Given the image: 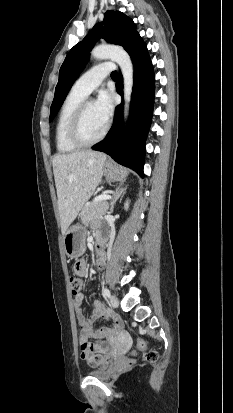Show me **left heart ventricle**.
I'll list each match as a JSON object with an SVG mask.
<instances>
[{
	"label": "left heart ventricle",
	"mask_w": 233,
	"mask_h": 413,
	"mask_svg": "<svg viewBox=\"0 0 233 413\" xmlns=\"http://www.w3.org/2000/svg\"><path fill=\"white\" fill-rule=\"evenodd\" d=\"M106 126V122L100 117L96 110L94 102H91L86 109L83 124L82 134L87 140L98 137Z\"/></svg>",
	"instance_id": "left-heart-ventricle-1"
}]
</instances>
